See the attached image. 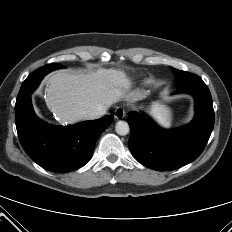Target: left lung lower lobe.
<instances>
[{
	"mask_svg": "<svg viewBox=\"0 0 232 232\" xmlns=\"http://www.w3.org/2000/svg\"><path fill=\"white\" fill-rule=\"evenodd\" d=\"M195 98L196 116L178 130H163L144 114L130 112L129 149L142 165L157 171L175 170L194 161L204 150L214 127V110L208 87L198 77L174 93Z\"/></svg>",
	"mask_w": 232,
	"mask_h": 232,
	"instance_id": "left-lung-lower-lobe-1",
	"label": "left lung lower lobe"
}]
</instances>
